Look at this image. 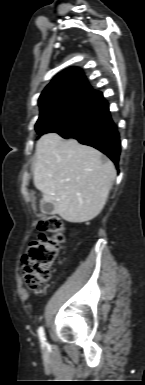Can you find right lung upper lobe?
<instances>
[{
	"instance_id": "obj_1",
	"label": "right lung upper lobe",
	"mask_w": 145,
	"mask_h": 385,
	"mask_svg": "<svg viewBox=\"0 0 145 385\" xmlns=\"http://www.w3.org/2000/svg\"><path fill=\"white\" fill-rule=\"evenodd\" d=\"M72 91L97 92L90 87L79 68H70L56 75L51 83L47 85L40 95L39 105L58 95Z\"/></svg>"
}]
</instances>
